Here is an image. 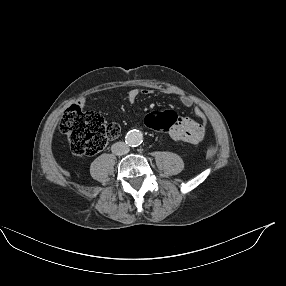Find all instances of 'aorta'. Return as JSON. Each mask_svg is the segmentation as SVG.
<instances>
[{"instance_id": "aorta-1", "label": "aorta", "mask_w": 286, "mask_h": 286, "mask_svg": "<svg viewBox=\"0 0 286 286\" xmlns=\"http://www.w3.org/2000/svg\"><path fill=\"white\" fill-rule=\"evenodd\" d=\"M126 143L129 146H138L143 141V134L139 130H131L126 134Z\"/></svg>"}]
</instances>
